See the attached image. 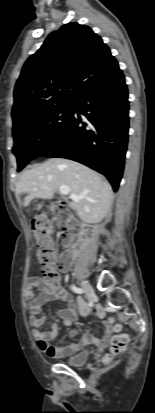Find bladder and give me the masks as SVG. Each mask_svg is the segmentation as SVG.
Listing matches in <instances>:
<instances>
[{"mask_svg": "<svg viewBox=\"0 0 155 413\" xmlns=\"http://www.w3.org/2000/svg\"><path fill=\"white\" fill-rule=\"evenodd\" d=\"M89 358V352L88 351H80L64 360V363L73 366V367H79L83 366L86 364L87 360Z\"/></svg>", "mask_w": 155, "mask_h": 413, "instance_id": "obj_1", "label": "bladder"}]
</instances>
